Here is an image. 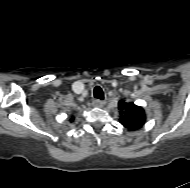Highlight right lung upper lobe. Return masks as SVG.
<instances>
[{"label": "right lung upper lobe", "instance_id": "cb5924a9", "mask_svg": "<svg viewBox=\"0 0 190 188\" xmlns=\"http://www.w3.org/2000/svg\"><path fill=\"white\" fill-rule=\"evenodd\" d=\"M69 121H70V122H73V121H74V117L71 116V117L69 118Z\"/></svg>", "mask_w": 190, "mask_h": 188}]
</instances>
